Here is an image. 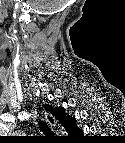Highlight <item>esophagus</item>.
<instances>
[{"label":"esophagus","mask_w":125,"mask_h":143,"mask_svg":"<svg viewBox=\"0 0 125 143\" xmlns=\"http://www.w3.org/2000/svg\"><path fill=\"white\" fill-rule=\"evenodd\" d=\"M46 121L51 125V126H55L56 125V121L55 118L51 115V114H46L45 115Z\"/></svg>","instance_id":"esophagus-1"}]
</instances>
